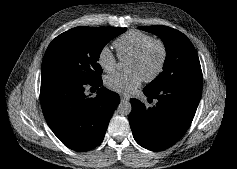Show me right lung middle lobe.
<instances>
[{"instance_id":"1","label":"right lung middle lobe","mask_w":237,"mask_h":169,"mask_svg":"<svg viewBox=\"0 0 237 169\" xmlns=\"http://www.w3.org/2000/svg\"><path fill=\"white\" fill-rule=\"evenodd\" d=\"M126 31L117 27H75L57 36L43 58L42 76H59L85 82L101 79L98 64L103 47Z\"/></svg>"}]
</instances>
